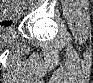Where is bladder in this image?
<instances>
[{
    "label": "bladder",
    "instance_id": "bladder-1",
    "mask_svg": "<svg viewBox=\"0 0 93 83\" xmlns=\"http://www.w3.org/2000/svg\"><path fill=\"white\" fill-rule=\"evenodd\" d=\"M14 34L12 28H7L6 26L1 27V39H7Z\"/></svg>",
    "mask_w": 93,
    "mask_h": 83
}]
</instances>
